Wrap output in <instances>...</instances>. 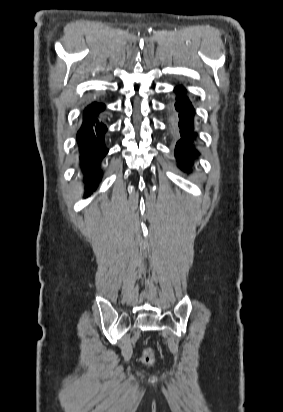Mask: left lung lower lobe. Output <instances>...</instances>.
Returning a JSON list of instances; mask_svg holds the SVG:
<instances>
[{"mask_svg":"<svg viewBox=\"0 0 283 412\" xmlns=\"http://www.w3.org/2000/svg\"><path fill=\"white\" fill-rule=\"evenodd\" d=\"M175 92L178 93L177 102L175 107L180 111V128L182 139L177 143L175 155L178 162L181 164H189L188 157H193L197 154L196 150L192 147L191 141L195 137L193 133V116L194 109L189 100L183 96L185 89L183 87L175 88ZM189 171V169H187Z\"/></svg>","mask_w":283,"mask_h":412,"instance_id":"0a47b994","label":"left lung lower lobe"}]
</instances>
